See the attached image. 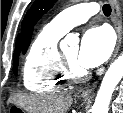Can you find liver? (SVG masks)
<instances>
[{
	"label": "liver",
	"instance_id": "6515ba94",
	"mask_svg": "<svg viewBox=\"0 0 123 113\" xmlns=\"http://www.w3.org/2000/svg\"><path fill=\"white\" fill-rule=\"evenodd\" d=\"M10 102L31 113H66L73 103V98L70 93L17 95Z\"/></svg>",
	"mask_w": 123,
	"mask_h": 113
}]
</instances>
